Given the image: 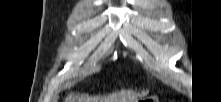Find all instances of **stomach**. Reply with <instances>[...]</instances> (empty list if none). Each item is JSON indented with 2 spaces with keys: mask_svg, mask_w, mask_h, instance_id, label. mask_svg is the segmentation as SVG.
<instances>
[{
  "mask_svg": "<svg viewBox=\"0 0 221 102\" xmlns=\"http://www.w3.org/2000/svg\"><path fill=\"white\" fill-rule=\"evenodd\" d=\"M140 102H159L157 96H149L146 98L141 99Z\"/></svg>",
  "mask_w": 221,
  "mask_h": 102,
  "instance_id": "1",
  "label": "stomach"
}]
</instances>
